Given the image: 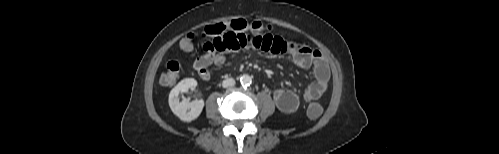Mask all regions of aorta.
I'll return each instance as SVG.
<instances>
[{
  "label": "aorta",
  "mask_w": 499,
  "mask_h": 154,
  "mask_svg": "<svg viewBox=\"0 0 499 154\" xmlns=\"http://www.w3.org/2000/svg\"><path fill=\"white\" fill-rule=\"evenodd\" d=\"M240 83L244 86H248L252 83V78L251 76L244 74L240 77Z\"/></svg>",
  "instance_id": "obj_1"
}]
</instances>
